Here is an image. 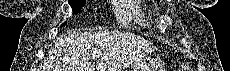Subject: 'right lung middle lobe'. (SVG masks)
Segmentation results:
<instances>
[{"label": "right lung middle lobe", "mask_w": 230, "mask_h": 71, "mask_svg": "<svg viewBox=\"0 0 230 71\" xmlns=\"http://www.w3.org/2000/svg\"><path fill=\"white\" fill-rule=\"evenodd\" d=\"M70 6L72 7L73 14L80 12L81 8L85 5L86 0H69ZM65 23L62 24L64 26Z\"/></svg>", "instance_id": "dd1d6c3e"}]
</instances>
